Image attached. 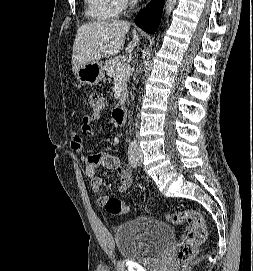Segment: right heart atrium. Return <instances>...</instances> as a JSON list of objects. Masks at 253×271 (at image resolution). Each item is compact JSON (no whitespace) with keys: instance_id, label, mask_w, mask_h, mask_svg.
I'll use <instances>...</instances> for the list:
<instances>
[{"instance_id":"1","label":"right heart atrium","mask_w":253,"mask_h":271,"mask_svg":"<svg viewBox=\"0 0 253 271\" xmlns=\"http://www.w3.org/2000/svg\"><path fill=\"white\" fill-rule=\"evenodd\" d=\"M116 2L122 10V9L130 6L134 2V0H116Z\"/></svg>"}]
</instances>
